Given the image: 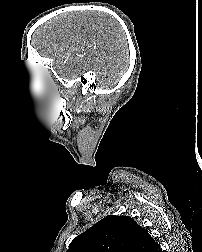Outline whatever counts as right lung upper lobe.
I'll list each match as a JSON object with an SVG mask.
<instances>
[{
    "label": "right lung upper lobe",
    "mask_w": 202,
    "mask_h": 252,
    "mask_svg": "<svg viewBox=\"0 0 202 252\" xmlns=\"http://www.w3.org/2000/svg\"><path fill=\"white\" fill-rule=\"evenodd\" d=\"M67 252H162V249L131 217L108 215L78 235Z\"/></svg>",
    "instance_id": "right-lung-upper-lobe-1"
}]
</instances>
